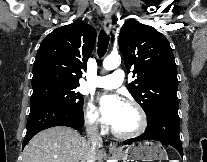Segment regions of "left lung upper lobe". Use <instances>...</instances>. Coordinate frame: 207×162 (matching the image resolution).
Wrapping results in <instances>:
<instances>
[{"label":"left lung upper lobe","instance_id":"left-lung-upper-lobe-1","mask_svg":"<svg viewBox=\"0 0 207 162\" xmlns=\"http://www.w3.org/2000/svg\"><path fill=\"white\" fill-rule=\"evenodd\" d=\"M119 49L137 79L128 90L147 118L161 106H178L177 68L168 40L155 28L127 20L119 34Z\"/></svg>","mask_w":207,"mask_h":162}]
</instances>
